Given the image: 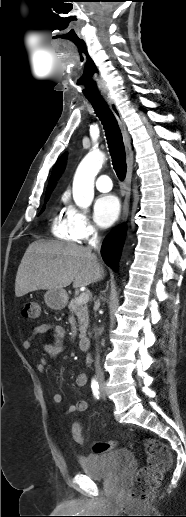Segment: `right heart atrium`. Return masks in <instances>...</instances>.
Masks as SVG:
<instances>
[{"instance_id":"obj_1","label":"right heart atrium","mask_w":186,"mask_h":517,"mask_svg":"<svg viewBox=\"0 0 186 517\" xmlns=\"http://www.w3.org/2000/svg\"><path fill=\"white\" fill-rule=\"evenodd\" d=\"M67 202V201H66ZM66 218L75 238L79 241H88L98 234L97 227L89 216L81 209L67 202Z\"/></svg>"}]
</instances>
